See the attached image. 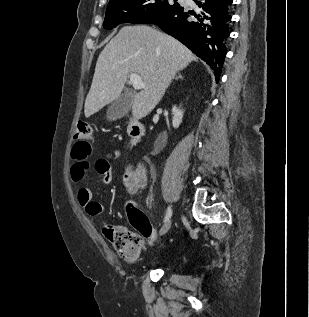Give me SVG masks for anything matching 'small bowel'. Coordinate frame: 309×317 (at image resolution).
I'll list each match as a JSON object with an SVG mask.
<instances>
[{
    "mask_svg": "<svg viewBox=\"0 0 309 317\" xmlns=\"http://www.w3.org/2000/svg\"><path fill=\"white\" fill-rule=\"evenodd\" d=\"M90 152L84 148L73 151V163L70 168V178L74 183L80 182L87 174L90 164L87 156ZM119 157V151L107 153L95 163L96 171L101 174L103 183L108 185L112 181L110 162ZM146 172L142 165L129 166L123 175V183L130 193H136L146 185ZM77 202L84 209L85 213L93 220L102 213L103 206L94 199L93 192L89 187H81L77 191Z\"/></svg>",
    "mask_w": 309,
    "mask_h": 317,
    "instance_id": "obj_1",
    "label": "small bowel"
}]
</instances>
